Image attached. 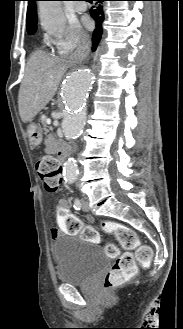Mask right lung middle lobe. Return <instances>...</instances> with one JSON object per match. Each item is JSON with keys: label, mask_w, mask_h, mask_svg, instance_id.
<instances>
[{"label": "right lung middle lobe", "mask_w": 183, "mask_h": 329, "mask_svg": "<svg viewBox=\"0 0 183 329\" xmlns=\"http://www.w3.org/2000/svg\"><path fill=\"white\" fill-rule=\"evenodd\" d=\"M35 31H36V30H34V31L30 32L29 34H30V35H32V34H34V33H35Z\"/></svg>", "instance_id": "right-lung-middle-lobe-1"}]
</instances>
